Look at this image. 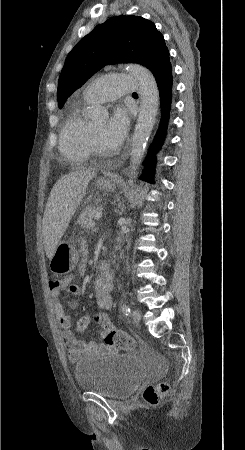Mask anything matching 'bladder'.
<instances>
[{
  "instance_id": "bladder-1",
  "label": "bladder",
  "mask_w": 245,
  "mask_h": 450,
  "mask_svg": "<svg viewBox=\"0 0 245 450\" xmlns=\"http://www.w3.org/2000/svg\"><path fill=\"white\" fill-rule=\"evenodd\" d=\"M74 376L80 389L120 399L142 383L144 373L130 355L101 354L78 363Z\"/></svg>"
}]
</instances>
